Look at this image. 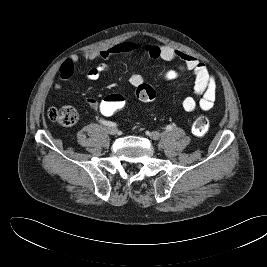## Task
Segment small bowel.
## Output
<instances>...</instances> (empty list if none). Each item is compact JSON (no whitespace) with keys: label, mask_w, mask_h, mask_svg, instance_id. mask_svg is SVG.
I'll return each mask as SVG.
<instances>
[{"label":"small bowel","mask_w":267,"mask_h":267,"mask_svg":"<svg viewBox=\"0 0 267 267\" xmlns=\"http://www.w3.org/2000/svg\"><path fill=\"white\" fill-rule=\"evenodd\" d=\"M139 55L153 59L160 58L165 61L181 62L177 69H169L164 74L166 81H174L184 72L189 71L194 75L193 95L187 96L182 101L183 110L192 113L199 106L203 111L210 110L215 102L217 94V82L215 76L207 67L195 57L178 51L164 44H140L133 41H124L100 51L85 52L81 55H73L66 59L60 66V82L55 85V91L60 93L62 82L69 80L74 74L75 64L80 58L92 61H101L86 72V78L94 81L109 72L110 68L105 62L114 56ZM145 82V77L139 72H133L130 76V83L138 87ZM86 103L92 109L97 110L99 101L95 98H87Z\"/></svg>","instance_id":"small-bowel-1"}]
</instances>
